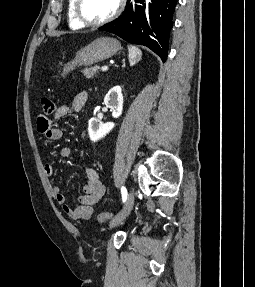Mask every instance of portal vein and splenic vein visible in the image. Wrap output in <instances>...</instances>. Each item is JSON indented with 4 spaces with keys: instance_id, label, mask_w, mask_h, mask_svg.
I'll use <instances>...</instances> for the list:
<instances>
[{
    "instance_id": "obj_1",
    "label": "portal vein and splenic vein",
    "mask_w": 255,
    "mask_h": 287,
    "mask_svg": "<svg viewBox=\"0 0 255 287\" xmlns=\"http://www.w3.org/2000/svg\"><path fill=\"white\" fill-rule=\"evenodd\" d=\"M102 72H106V70H108V66H103V68H101Z\"/></svg>"
}]
</instances>
